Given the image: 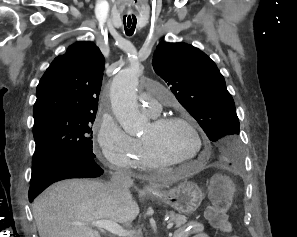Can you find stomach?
<instances>
[{
    "mask_svg": "<svg viewBox=\"0 0 297 237\" xmlns=\"http://www.w3.org/2000/svg\"><path fill=\"white\" fill-rule=\"evenodd\" d=\"M148 193L183 214L194 213L203 200L202 190L197 184L189 181L181 182L167 192L151 191Z\"/></svg>",
    "mask_w": 297,
    "mask_h": 237,
    "instance_id": "stomach-1",
    "label": "stomach"
}]
</instances>
